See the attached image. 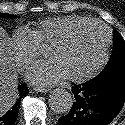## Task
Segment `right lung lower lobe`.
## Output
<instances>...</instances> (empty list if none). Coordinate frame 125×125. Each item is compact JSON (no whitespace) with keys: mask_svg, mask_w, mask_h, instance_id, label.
I'll use <instances>...</instances> for the list:
<instances>
[{"mask_svg":"<svg viewBox=\"0 0 125 125\" xmlns=\"http://www.w3.org/2000/svg\"><path fill=\"white\" fill-rule=\"evenodd\" d=\"M29 93V90L27 88L26 84H22L18 87V94L20 98L26 96ZM19 100L12 105L8 109L7 112H4L3 114L0 115V125H15V122L18 117L19 113Z\"/></svg>","mask_w":125,"mask_h":125,"instance_id":"1","label":"right lung lower lobe"}]
</instances>
